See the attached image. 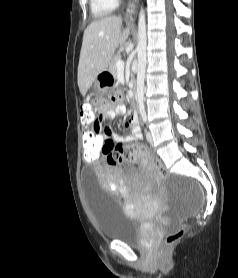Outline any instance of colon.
Wrapping results in <instances>:
<instances>
[{"mask_svg":"<svg viewBox=\"0 0 238 278\" xmlns=\"http://www.w3.org/2000/svg\"><path fill=\"white\" fill-rule=\"evenodd\" d=\"M99 118L100 115L97 113L94 105L92 103H86L82 108L80 126L84 127L85 124L92 126ZM81 136H95V131H81ZM83 141L85 149L83 151V158L85 159V162H98V159L103 158V155L100 153L104 151L107 161L110 164H117L124 159L138 157L146 160L148 164L157 171L161 178H166L168 175L162 161L158 158L151 157L143 146L136 144L122 146L121 144L116 143H108L105 145L103 137H84ZM183 234L184 227H180L168 233L165 238V245L171 246L175 244L180 240Z\"/></svg>","mask_w":238,"mask_h":278,"instance_id":"colon-1","label":"colon"}]
</instances>
